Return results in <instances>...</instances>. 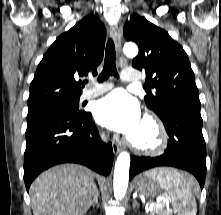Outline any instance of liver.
<instances>
[{
	"mask_svg": "<svg viewBox=\"0 0 221 215\" xmlns=\"http://www.w3.org/2000/svg\"><path fill=\"white\" fill-rule=\"evenodd\" d=\"M95 173L62 164L41 173L30 187L34 215H84L97 191Z\"/></svg>",
	"mask_w": 221,
	"mask_h": 215,
	"instance_id": "liver-1",
	"label": "liver"
}]
</instances>
